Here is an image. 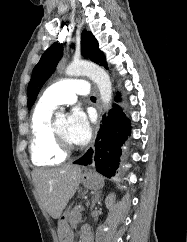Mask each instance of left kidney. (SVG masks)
Listing matches in <instances>:
<instances>
[{"instance_id": "5707ae66", "label": "left kidney", "mask_w": 187, "mask_h": 242, "mask_svg": "<svg viewBox=\"0 0 187 242\" xmlns=\"http://www.w3.org/2000/svg\"><path fill=\"white\" fill-rule=\"evenodd\" d=\"M114 199H115V196L113 193L107 196L105 203L108 208L112 207V203L114 202Z\"/></svg>"}]
</instances>
